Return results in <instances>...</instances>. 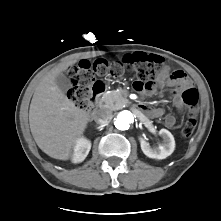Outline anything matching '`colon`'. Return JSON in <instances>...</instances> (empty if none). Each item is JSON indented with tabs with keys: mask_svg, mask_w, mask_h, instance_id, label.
I'll list each match as a JSON object with an SVG mask.
<instances>
[{
	"mask_svg": "<svg viewBox=\"0 0 221 221\" xmlns=\"http://www.w3.org/2000/svg\"><path fill=\"white\" fill-rule=\"evenodd\" d=\"M162 65L161 57L147 53H137L126 63L102 59L94 62L82 61L69 68L68 73L72 84L68 92L69 98L79 108H87L94 76L120 77L126 68L135 73V85L138 90H150L158 80ZM180 93L183 102L188 106V116L183 125L182 134L184 137H190L197 123L199 94L197 89L191 86L183 87Z\"/></svg>",
	"mask_w": 221,
	"mask_h": 221,
	"instance_id": "colon-1",
	"label": "colon"
}]
</instances>
